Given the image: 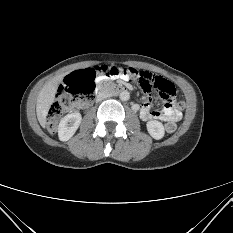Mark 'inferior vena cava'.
<instances>
[{
	"label": "inferior vena cava",
	"mask_w": 233,
	"mask_h": 233,
	"mask_svg": "<svg viewBox=\"0 0 233 233\" xmlns=\"http://www.w3.org/2000/svg\"><path fill=\"white\" fill-rule=\"evenodd\" d=\"M109 96H110L109 94L99 93V94L97 95V100L100 101V100H103V99H105V98H107V97H109Z\"/></svg>",
	"instance_id": "602c4592"
}]
</instances>
